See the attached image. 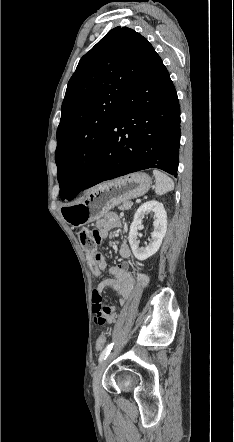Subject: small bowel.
<instances>
[{"label": "small bowel", "mask_w": 234, "mask_h": 442, "mask_svg": "<svg viewBox=\"0 0 234 442\" xmlns=\"http://www.w3.org/2000/svg\"><path fill=\"white\" fill-rule=\"evenodd\" d=\"M97 232L100 240L108 237L109 230L112 228H120L123 226V220L120 216L110 213L105 217L101 218L96 223ZM119 254L123 259H129L131 256V250L127 242H122L119 247ZM89 261L91 265H97L100 270H108L112 275V278L105 279L101 281L95 288L94 292L101 294L106 289H114L120 296L121 302L125 300L130 295L134 285L135 276L130 269L127 262H122L117 265L107 267L105 258L101 254L89 255ZM138 279L143 283H147V276L144 274H139ZM116 319V311L114 306L107 305L106 310L103 314H94L92 320L96 328H105L107 323H113ZM105 340L103 342L104 346Z\"/></svg>", "instance_id": "c3829d8e"}]
</instances>
